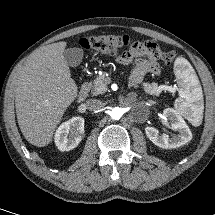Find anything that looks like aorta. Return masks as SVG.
<instances>
[{
  "mask_svg": "<svg viewBox=\"0 0 215 215\" xmlns=\"http://www.w3.org/2000/svg\"><path fill=\"white\" fill-rule=\"evenodd\" d=\"M122 116V111L120 108H113L111 111V117L114 120H118L120 119V117Z\"/></svg>",
  "mask_w": 215,
  "mask_h": 215,
  "instance_id": "aorta-1",
  "label": "aorta"
}]
</instances>
